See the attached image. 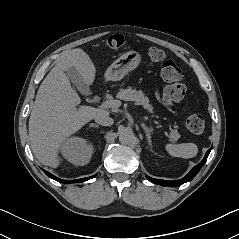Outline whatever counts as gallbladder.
Here are the masks:
<instances>
[{
  "instance_id": "obj_1",
  "label": "gallbladder",
  "mask_w": 239,
  "mask_h": 239,
  "mask_svg": "<svg viewBox=\"0 0 239 239\" xmlns=\"http://www.w3.org/2000/svg\"><path fill=\"white\" fill-rule=\"evenodd\" d=\"M66 73L79 91L82 93H86L88 91V86L82 81L80 75L74 68H69Z\"/></svg>"
}]
</instances>
